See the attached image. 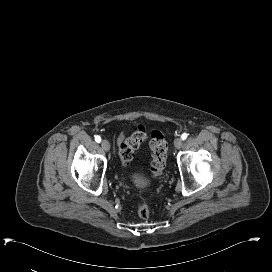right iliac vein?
Segmentation results:
<instances>
[{
  "mask_svg": "<svg viewBox=\"0 0 272 272\" xmlns=\"http://www.w3.org/2000/svg\"><path fill=\"white\" fill-rule=\"evenodd\" d=\"M101 147L103 150H105L107 152L110 149V144L107 140H102Z\"/></svg>",
  "mask_w": 272,
  "mask_h": 272,
  "instance_id": "1",
  "label": "right iliac vein"
}]
</instances>
